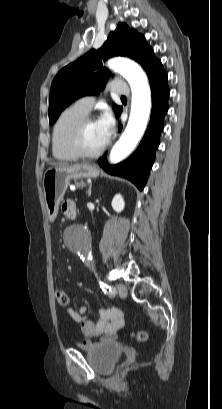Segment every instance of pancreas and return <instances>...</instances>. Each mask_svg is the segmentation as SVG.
<instances>
[{
	"label": "pancreas",
	"mask_w": 222,
	"mask_h": 409,
	"mask_svg": "<svg viewBox=\"0 0 222 409\" xmlns=\"http://www.w3.org/2000/svg\"><path fill=\"white\" fill-rule=\"evenodd\" d=\"M76 186L77 187H83V186H85V183L84 182H77Z\"/></svg>",
	"instance_id": "cf45deb5"
}]
</instances>
